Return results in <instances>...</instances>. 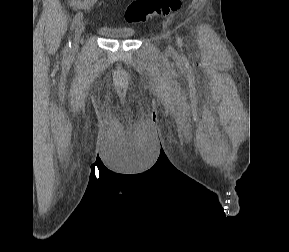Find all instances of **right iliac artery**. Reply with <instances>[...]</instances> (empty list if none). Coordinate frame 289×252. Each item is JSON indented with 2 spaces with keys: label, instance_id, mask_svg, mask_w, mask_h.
Masks as SVG:
<instances>
[{
  "label": "right iliac artery",
  "instance_id": "obj_1",
  "mask_svg": "<svg viewBox=\"0 0 289 252\" xmlns=\"http://www.w3.org/2000/svg\"><path fill=\"white\" fill-rule=\"evenodd\" d=\"M83 14L81 12H78L75 17L73 18V22H72V30L75 28V26L80 22V20L82 19ZM71 50V41L69 40V42L67 43L66 47H65V54H68Z\"/></svg>",
  "mask_w": 289,
  "mask_h": 252
}]
</instances>
